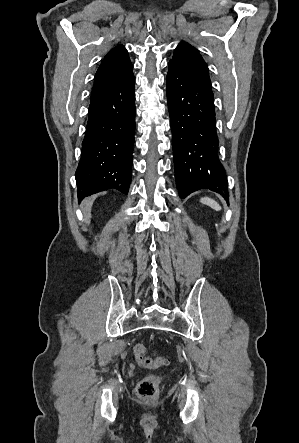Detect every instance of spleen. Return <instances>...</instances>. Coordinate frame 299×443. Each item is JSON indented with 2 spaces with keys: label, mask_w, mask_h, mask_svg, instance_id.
<instances>
[{
  "label": "spleen",
  "mask_w": 299,
  "mask_h": 443,
  "mask_svg": "<svg viewBox=\"0 0 299 443\" xmlns=\"http://www.w3.org/2000/svg\"><path fill=\"white\" fill-rule=\"evenodd\" d=\"M200 201L203 204H206V205L210 206L211 208H213L216 211L221 210V206L215 200H213L212 198L204 197V198H201Z\"/></svg>",
  "instance_id": "3e777b00"
}]
</instances>
